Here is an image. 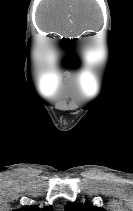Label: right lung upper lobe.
Returning a JSON list of instances; mask_svg holds the SVG:
<instances>
[{
  "mask_svg": "<svg viewBox=\"0 0 133 211\" xmlns=\"http://www.w3.org/2000/svg\"><path fill=\"white\" fill-rule=\"evenodd\" d=\"M14 211H53L52 207H45L43 209L37 208V207H31L30 209H20V210H14Z\"/></svg>",
  "mask_w": 133,
  "mask_h": 211,
  "instance_id": "1",
  "label": "right lung upper lobe"
}]
</instances>
